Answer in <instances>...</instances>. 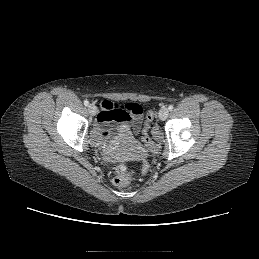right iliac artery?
Returning a JSON list of instances; mask_svg holds the SVG:
<instances>
[{
	"label": "right iliac artery",
	"mask_w": 259,
	"mask_h": 259,
	"mask_svg": "<svg viewBox=\"0 0 259 259\" xmlns=\"http://www.w3.org/2000/svg\"><path fill=\"white\" fill-rule=\"evenodd\" d=\"M84 105H85V106H88V105H89V101H88V100H85V101H84Z\"/></svg>",
	"instance_id": "1"
}]
</instances>
